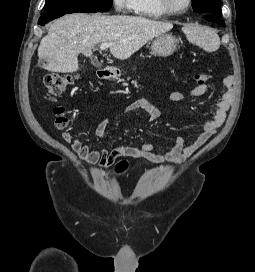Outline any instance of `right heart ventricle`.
<instances>
[{"label":"right heart ventricle","mask_w":255,"mask_h":272,"mask_svg":"<svg viewBox=\"0 0 255 272\" xmlns=\"http://www.w3.org/2000/svg\"><path fill=\"white\" fill-rule=\"evenodd\" d=\"M133 10L138 15L150 18H162L167 15L158 0H133Z\"/></svg>","instance_id":"e07e8e85"}]
</instances>
